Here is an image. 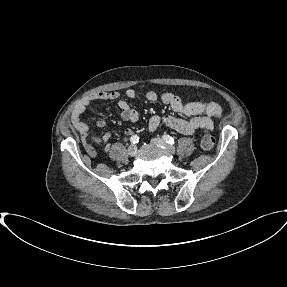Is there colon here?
Masks as SVG:
<instances>
[{"label": "colon", "instance_id": "obj_1", "mask_svg": "<svg viewBox=\"0 0 287 287\" xmlns=\"http://www.w3.org/2000/svg\"><path fill=\"white\" fill-rule=\"evenodd\" d=\"M92 141H96V140L93 138ZM214 144H215V139L213 138V136L209 134L204 135L201 139V147L204 150H211L214 147Z\"/></svg>", "mask_w": 287, "mask_h": 287}]
</instances>
